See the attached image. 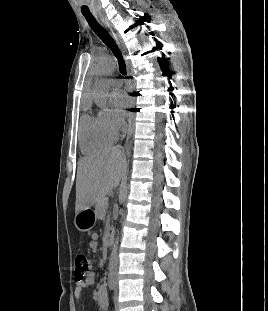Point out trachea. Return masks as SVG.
Returning a JSON list of instances; mask_svg holds the SVG:
<instances>
[{"label":"trachea","instance_id":"obj_1","mask_svg":"<svg viewBox=\"0 0 268 311\" xmlns=\"http://www.w3.org/2000/svg\"><path fill=\"white\" fill-rule=\"evenodd\" d=\"M85 19L87 20L91 29L95 32V34L102 40V42L107 45L114 56L118 60L119 70L123 75H126V64L123 59V56L117 47L113 38L109 35V33L97 22L93 15L83 14Z\"/></svg>","mask_w":268,"mask_h":311}]
</instances>
